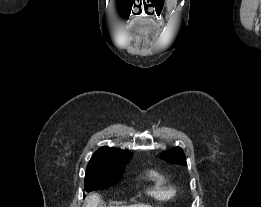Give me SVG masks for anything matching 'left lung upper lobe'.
Returning a JSON list of instances; mask_svg holds the SVG:
<instances>
[{"mask_svg": "<svg viewBox=\"0 0 261 207\" xmlns=\"http://www.w3.org/2000/svg\"><path fill=\"white\" fill-rule=\"evenodd\" d=\"M161 156L171 163L186 165V158L180 147H176L167 152H164L161 154Z\"/></svg>", "mask_w": 261, "mask_h": 207, "instance_id": "5c2ea615", "label": "left lung upper lobe"}]
</instances>
